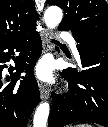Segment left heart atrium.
Masks as SVG:
<instances>
[{
    "label": "left heart atrium",
    "mask_w": 108,
    "mask_h": 127,
    "mask_svg": "<svg viewBox=\"0 0 108 127\" xmlns=\"http://www.w3.org/2000/svg\"><path fill=\"white\" fill-rule=\"evenodd\" d=\"M36 76L42 81H50L53 78V68L49 60H42L35 69Z\"/></svg>",
    "instance_id": "39dd6f15"
}]
</instances>
